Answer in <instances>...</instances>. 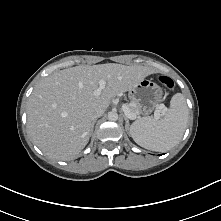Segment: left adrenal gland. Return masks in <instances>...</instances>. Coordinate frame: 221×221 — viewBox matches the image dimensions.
<instances>
[{
  "label": "left adrenal gland",
  "mask_w": 221,
  "mask_h": 221,
  "mask_svg": "<svg viewBox=\"0 0 221 221\" xmlns=\"http://www.w3.org/2000/svg\"><path fill=\"white\" fill-rule=\"evenodd\" d=\"M124 119H125V122H126L125 128H126V130H129V119L126 116H124Z\"/></svg>",
  "instance_id": "obj_1"
}]
</instances>
